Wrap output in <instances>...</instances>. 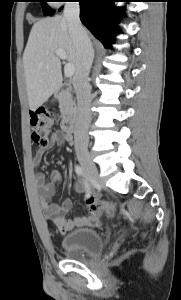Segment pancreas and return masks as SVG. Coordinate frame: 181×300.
<instances>
[{"label": "pancreas", "instance_id": "pancreas-1", "mask_svg": "<svg viewBox=\"0 0 181 300\" xmlns=\"http://www.w3.org/2000/svg\"><path fill=\"white\" fill-rule=\"evenodd\" d=\"M59 108L62 116L74 113L75 101L70 90H65L60 93Z\"/></svg>", "mask_w": 181, "mask_h": 300}]
</instances>
